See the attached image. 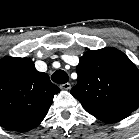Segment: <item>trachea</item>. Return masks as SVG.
I'll return each instance as SVG.
<instances>
[{"label": "trachea", "mask_w": 139, "mask_h": 139, "mask_svg": "<svg viewBox=\"0 0 139 139\" xmlns=\"http://www.w3.org/2000/svg\"><path fill=\"white\" fill-rule=\"evenodd\" d=\"M51 79L57 84H64L68 82V74L64 70H58L51 75Z\"/></svg>", "instance_id": "obj_1"}]
</instances>
